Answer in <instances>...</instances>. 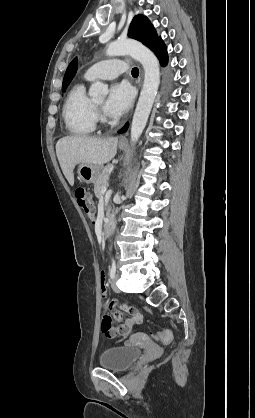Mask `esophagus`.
<instances>
[{"label": "esophagus", "instance_id": "obj_1", "mask_svg": "<svg viewBox=\"0 0 255 418\" xmlns=\"http://www.w3.org/2000/svg\"><path fill=\"white\" fill-rule=\"evenodd\" d=\"M127 141V138H126V136L125 135H122V136H120V138H119V143H125Z\"/></svg>", "mask_w": 255, "mask_h": 418}]
</instances>
